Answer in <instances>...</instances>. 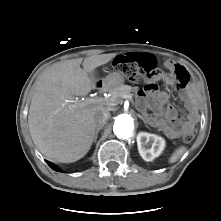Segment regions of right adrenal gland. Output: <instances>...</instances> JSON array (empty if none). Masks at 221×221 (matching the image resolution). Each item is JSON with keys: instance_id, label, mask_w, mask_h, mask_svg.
<instances>
[{"instance_id": "obj_1", "label": "right adrenal gland", "mask_w": 221, "mask_h": 221, "mask_svg": "<svg viewBox=\"0 0 221 221\" xmlns=\"http://www.w3.org/2000/svg\"><path fill=\"white\" fill-rule=\"evenodd\" d=\"M101 129H102V127L96 128L95 137H94V143L97 141L98 134H99V132H100Z\"/></svg>"}]
</instances>
